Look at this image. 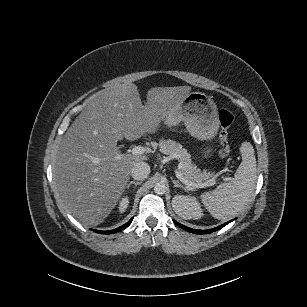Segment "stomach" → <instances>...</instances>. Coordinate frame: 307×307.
<instances>
[{
    "label": "stomach",
    "instance_id": "0dacf381",
    "mask_svg": "<svg viewBox=\"0 0 307 307\" xmlns=\"http://www.w3.org/2000/svg\"><path fill=\"white\" fill-rule=\"evenodd\" d=\"M163 122L168 128L183 122L189 134L200 141H211L219 130L217 106L211 97L201 92L189 93L180 110L167 114ZM211 152V147L202 149L205 157Z\"/></svg>",
    "mask_w": 307,
    "mask_h": 307
}]
</instances>
